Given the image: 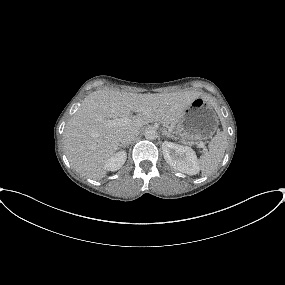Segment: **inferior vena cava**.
Returning <instances> with one entry per match:
<instances>
[{
    "instance_id": "obj_1",
    "label": "inferior vena cava",
    "mask_w": 285,
    "mask_h": 285,
    "mask_svg": "<svg viewBox=\"0 0 285 285\" xmlns=\"http://www.w3.org/2000/svg\"><path fill=\"white\" fill-rule=\"evenodd\" d=\"M139 133L135 132V131H124L120 134L119 136V141L123 144H129L131 143V141L138 136Z\"/></svg>"
}]
</instances>
